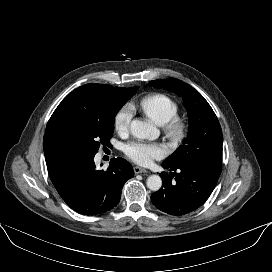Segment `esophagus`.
<instances>
[{
  "label": "esophagus",
  "instance_id": "esophagus-1",
  "mask_svg": "<svg viewBox=\"0 0 272 272\" xmlns=\"http://www.w3.org/2000/svg\"><path fill=\"white\" fill-rule=\"evenodd\" d=\"M134 172L135 174H139V173H147L148 171L142 167L139 166H135L134 167Z\"/></svg>",
  "mask_w": 272,
  "mask_h": 272
}]
</instances>
